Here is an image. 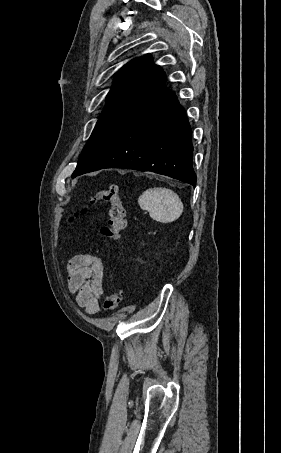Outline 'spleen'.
<instances>
[{
    "label": "spleen",
    "mask_w": 281,
    "mask_h": 453,
    "mask_svg": "<svg viewBox=\"0 0 281 453\" xmlns=\"http://www.w3.org/2000/svg\"><path fill=\"white\" fill-rule=\"evenodd\" d=\"M138 202L142 210H148L151 218L159 222H173L183 212V204L170 188H147Z\"/></svg>",
    "instance_id": "1"
}]
</instances>
